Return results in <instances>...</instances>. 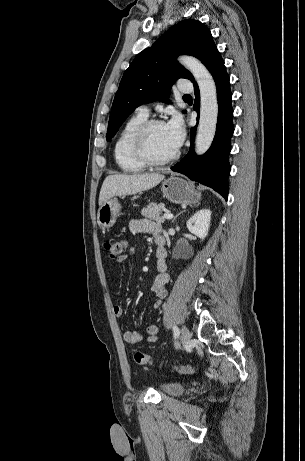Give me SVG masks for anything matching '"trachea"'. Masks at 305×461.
<instances>
[{"mask_svg": "<svg viewBox=\"0 0 305 461\" xmlns=\"http://www.w3.org/2000/svg\"><path fill=\"white\" fill-rule=\"evenodd\" d=\"M191 97L190 95H184L183 98H189Z\"/></svg>", "mask_w": 305, "mask_h": 461, "instance_id": "obj_1", "label": "trachea"}]
</instances>
